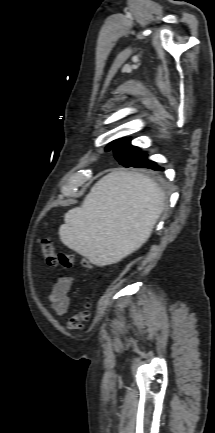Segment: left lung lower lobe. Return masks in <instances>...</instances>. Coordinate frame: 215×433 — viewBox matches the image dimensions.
<instances>
[{"mask_svg": "<svg viewBox=\"0 0 215 433\" xmlns=\"http://www.w3.org/2000/svg\"><path fill=\"white\" fill-rule=\"evenodd\" d=\"M127 167H137V168H141V167H144V168H146V166L145 165H143V164H139V163H132V164H130L129 166H127ZM157 170H163V168H158Z\"/></svg>", "mask_w": 215, "mask_h": 433, "instance_id": "left-lung-lower-lobe-1", "label": "left lung lower lobe"}]
</instances>
